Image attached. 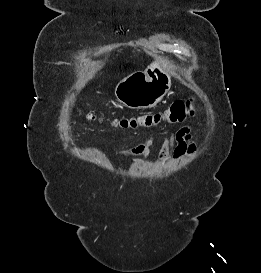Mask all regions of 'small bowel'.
<instances>
[{
	"mask_svg": "<svg viewBox=\"0 0 261 273\" xmlns=\"http://www.w3.org/2000/svg\"><path fill=\"white\" fill-rule=\"evenodd\" d=\"M152 143L153 138H149L130 149L122 151L121 155L124 157L142 156L146 159L150 154ZM195 150L196 146L191 140L190 128L186 126L164 139L160 150V158L163 161H167L170 158L179 160L183 156L193 155Z\"/></svg>",
	"mask_w": 261,
	"mask_h": 273,
	"instance_id": "obj_1",
	"label": "small bowel"
}]
</instances>
